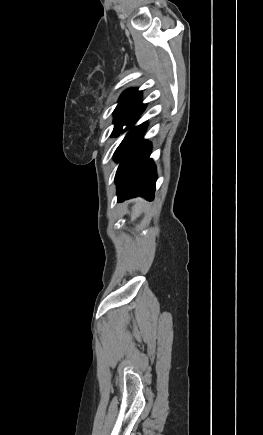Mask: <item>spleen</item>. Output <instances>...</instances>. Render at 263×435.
<instances>
[{
	"label": "spleen",
	"mask_w": 263,
	"mask_h": 435,
	"mask_svg": "<svg viewBox=\"0 0 263 435\" xmlns=\"http://www.w3.org/2000/svg\"><path fill=\"white\" fill-rule=\"evenodd\" d=\"M144 206H145L144 202L142 200H138L134 205L133 214L138 215L142 211Z\"/></svg>",
	"instance_id": "obj_1"
}]
</instances>
